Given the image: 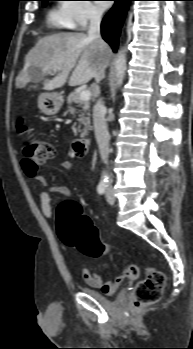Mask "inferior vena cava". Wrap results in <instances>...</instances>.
Instances as JSON below:
<instances>
[{
  "mask_svg": "<svg viewBox=\"0 0 193 349\" xmlns=\"http://www.w3.org/2000/svg\"><path fill=\"white\" fill-rule=\"evenodd\" d=\"M103 11L98 8H93L90 12V26L88 30L89 38L96 39L102 42L100 34V24ZM106 110L102 104L100 98L93 107V124L95 130V137L99 146V152L101 159L104 163H107L110 153L109 141L110 135L105 120Z\"/></svg>",
  "mask_w": 193,
  "mask_h": 349,
  "instance_id": "1",
  "label": "inferior vena cava"
}]
</instances>
